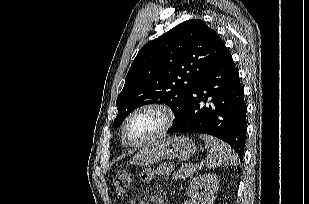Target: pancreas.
Wrapping results in <instances>:
<instances>
[{
    "mask_svg": "<svg viewBox=\"0 0 309 204\" xmlns=\"http://www.w3.org/2000/svg\"><path fill=\"white\" fill-rule=\"evenodd\" d=\"M198 170L197 165H194L192 163H188L185 165H182L175 173L174 177L176 179H186L189 176H192L194 173H196Z\"/></svg>",
    "mask_w": 309,
    "mask_h": 204,
    "instance_id": "cf45deb5",
    "label": "pancreas"
}]
</instances>
